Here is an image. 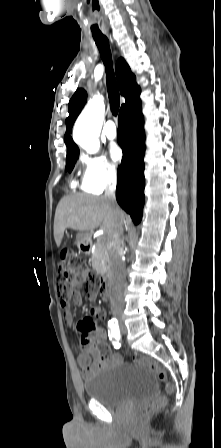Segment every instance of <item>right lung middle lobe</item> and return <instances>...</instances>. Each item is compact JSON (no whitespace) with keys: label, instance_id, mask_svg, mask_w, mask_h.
Listing matches in <instances>:
<instances>
[{"label":"right lung middle lobe","instance_id":"1","mask_svg":"<svg viewBox=\"0 0 221 448\" xmlns=\"http://www.w3.org/2000/svg\"><path fill=\"white\" fill-rule=\"evenodd\" d=\"M78 157H79V153L67 156V158H66V167H65L66 171H69V172L72 171V169H73V167H74Z\"/></svg>","mask_w":221,"mask_h":448}]
</instances>
